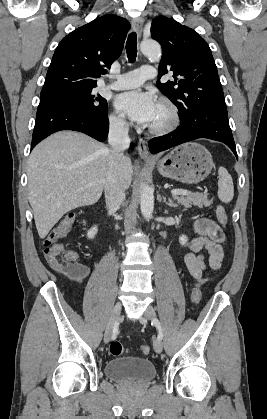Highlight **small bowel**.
Returning a JSON list of instances; mask_svg holds the SVG:
<instances>
[{
    "mask_svg": "<svg viewBox=\"0 0 267 419\" xmlns=\"http://www.w3.org/2000/svg\"><path fill=\"white\" fill-rule=\"evenodd\" d=\"M194 230L198 234L190 243V251L184 257V263L195 280H200L206 272L207 266L202 250L208 252V264L210 268L218 270L221 268L224 256V235L213 220L202 218L195 222ZM88 271L83 268V272L74 277L75 281L81 283L87 277Z\"/></svg>",
    "mask_w": 267,
    "mask_h": 419,
    "instance_id": "c3829d8e",
    "label": "small bowel"
}]
</instances>
